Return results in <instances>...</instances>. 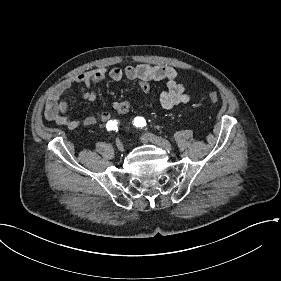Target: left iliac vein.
<instances>
[{"label": "left iliac vein", "instance_id": "4c4485c4", "mask_svg": "<svg viewBox=\"0 0 281 281\" xmlns=\"http://www.w3.org/2000/svg\"><path fill=\"white\" fill-rule=\"evenodd\" d=\"M141 140L143 142L150 141L151 143H153L157 146H160V147L166 149L167 151H170L172 149L171 144L167 140H165L161 137H158L154 134H151V133L144 134L142 136Z\"/></svg>", "mask_w": 281, "mask_h": 281}]
</instances>
